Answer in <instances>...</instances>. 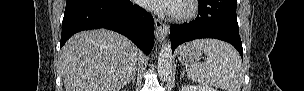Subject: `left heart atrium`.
Instances as JSON below:
<instances>
[{"label": "left heart atrium", "mask_w": 304, "mask_h": 91, "mask_svg": "<svg viewBox=\"0 0 304 91\" xmlns=\"http://www.w3.org/2000/svg\"><path fill=\"white\" fill-rule=\"evenodd\" d=\"M178 3V0H144L143 6L156 12L174 14Z\"/></svg>", "instance_id": "left-heart-atrium-1"}]
</instances>
